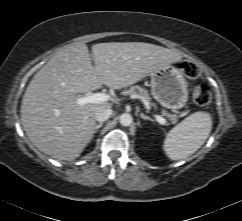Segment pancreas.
Wrapping results in <instances>:
<instances>
[{
    "instance_id": "1",
    "label": "pancreas",
    "mask_w": 242,
    "mask_h": 221,
    "mask_svg": "<svg viewBox=\"0 0 242 221\" xmlns=\"http://www.w3.org/2000/svg\"><path fill=\"white\" fill-rule=\"evenodd\" d=\"M123 95H129V96H133V97H138L139 99H141L146 105H148L149 107H154L156 108V105L154 103L151 102V97L149 96V93L147 90H145L144 88H142L141 86H131L129 89L125 90L122 92ZM165 115H167L168 117H170L172 119L173 122L176 121V117L167 113H164Z\"/></svg>"
}]
</instances>
